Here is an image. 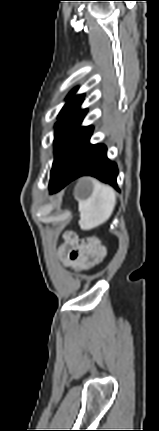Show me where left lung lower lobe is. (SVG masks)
Segmentation results:
<instances>
[{
  "instance_id": "0a47b994",
  "label": "left lung lower lobe",
  "mask_w": 159,
  "mask_h": 431,
  "mask_svg": "<svg viewBox=\"0 0 159 431\" xmlns=\"http://www.w3.org/2000/svg\"><path fill=\"white\" fill-rule=\"evenodd\" d=\"M93 127L89 126L70 147L57 176L50 182V193L62 189L72 180L91 175L117 187V166L107 158V148L102 144H90Z\"/></svg>"
}]
</instances>
